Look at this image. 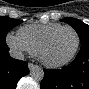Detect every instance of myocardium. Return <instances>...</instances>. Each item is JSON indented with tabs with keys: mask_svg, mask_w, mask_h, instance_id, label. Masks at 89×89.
<instances>
[{
	"mask_svg": "<svg viewBox=\"0 0 89 89\" xmlns=\"http://www.w3.org/2000/svg\"><path fill=\"white\" fill-rule=\"evenodd\" d=\"M65 29H69L71 31L74 32L75 36H76V44H75V47L72 51V53L65 59L63 60H60V61H57V62H52V61H49L47 60L45 57H44V51L46 49V47L48 46V44L50 43V41L52 40V38L57 35L59 32H61L62 30H65ZM80 35L78 33V31L72 27V26H69V25H65V26H61L59 27L58 29H56L55 31L51 32L50 34H48L46 36V38L43 40V42L40 44L39 48H38V52H37V57L38 59L44 64L46 65L47 67H51V68H58V67H62L68 63H70L74 57L76 56L78 50H79V47H80Z\"/></svg>",
	"mask_w": 89,
	"mask_h": 89,
	"instance_id": "myocardium-1",
	"label": "myocardium"
}]
</instances>
